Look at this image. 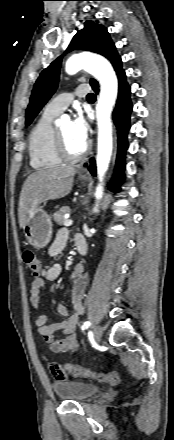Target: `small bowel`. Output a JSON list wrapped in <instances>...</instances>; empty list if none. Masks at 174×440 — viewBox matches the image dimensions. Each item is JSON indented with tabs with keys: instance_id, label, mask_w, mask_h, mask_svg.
I'll use <instances>...</instances> for the list:
<instances>
[{
	"instance_id": "small-bowel-1",
	"label": "small bowel",
	"mask_w": 174,
	"mask_h": 440,
	"mask_svg": "<svg viewBox=\"0 0 174 440\" xmlns=\"http://www.w3.org/2000/svg\"><path fill=\"white\" fill-rule=\"evenodd\" d=\"M78 237L79 236H75L74 243ZM67 240V230L61 229L48 250L49 256L53 258L59 256L65 249ZM61 270L59 264L43 268L40 276L32 281L30 289V303L35 310L39 311L35 319V324L39 334L53 353L74 352L77 350L78 340L75 329L83 312L82 300L86 290L83 267L76 266L70 277L71 311L68 312L64 304H58L56 312L59 316L64 317V319L60 322L48 323V316L41 311L40 293L47 283L55 281L60 276ZM57 332H62L63 337L57 338ZM50 370L55 380L61 382L67 381V373L62 369L60 364L52 363Z\"/></svg>"
}]
</instances>
